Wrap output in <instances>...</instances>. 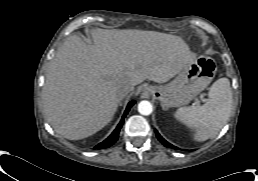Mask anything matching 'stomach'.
Here are the masks:
<instances>
[{"instance_id":"stomach-1","label":"stomach","mask_w":258,"mask_h":181,"mask_svg":"<svg viewBox=\"0 0 258 181\" xmlns=\"http://www.w3.org/2000/svg\"><path fill=\"white\" fill-rule=\"evenodd\" d=\"M217 70L216 62L199 56L185 67L171 82L150 85L145 90L160 101L163 108L179 107L190 103L212 81Z\"/></svg>"}]
</instances>
